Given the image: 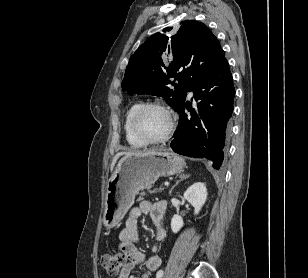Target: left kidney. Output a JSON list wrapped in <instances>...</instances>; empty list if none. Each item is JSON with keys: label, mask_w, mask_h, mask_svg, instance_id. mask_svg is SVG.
Instances as JSON below:
<instances>
[{"label": "left kidney", "mask_w": 308, "mask_h": 278, "mask_svg": "<svg viewBox=\"0 0 308 278\" xmlns=\"http://www.w3.org/2000/svg\"><path fill=\"white\" fill-rule=\"evenodd\" d=\"M184 198L194 207V214L197 215L207 199V189L204 183L197 182L189 187L184 193ZM184 222L181 216L174 215L171 220L173 233H178Z\"/></svg>", "instance_id": "5707ae66"}]
</instances>
